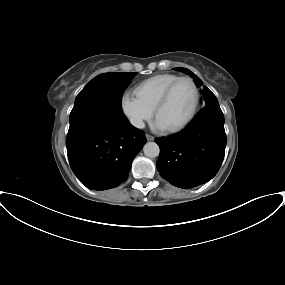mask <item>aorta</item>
<instances>
[{
    "label": "aorta",
    "instance_id": "aorta-1",
    "mask_svg": "<svg viewBox=\"0 0 285 285\" xmlns=\"http://www.w3.org/2000/svg\"><path fill=\"white\" fill-rule=\"evenodd\" d=\"M143 152L147 157L155 158L159 155L160 149L155 142H147L143 147Z\"/></svg>",
    "mask_w": 285,
    "mask_h": 285
}]
</instances>
